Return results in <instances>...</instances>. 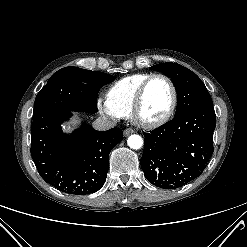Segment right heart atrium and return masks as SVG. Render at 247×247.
<instances>
[{
  "mask_svg": "<svg viewBox=\"0 0 247 247\" xmlns=\"http://www.w3.org/2000/svg\"><path fill=\"white\" fill-rule=\"evenodd\" d=\"M98 106L102 113L112 118H119L120 116L109 106L106 100L100 99Z\"/></svg>",
  "mask_w": 247,
  "mask_h": 247,
  "instance_id": "d8ad5b80",
  "label": "right heart atrium"
}]
</instances>
